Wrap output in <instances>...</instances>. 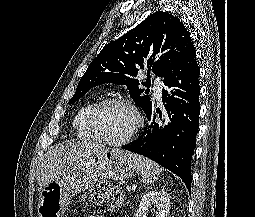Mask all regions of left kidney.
Segmentation results:
<instances>
[{"mask_svg": "<svg viewBox=\"0 0 255 217\" xmlns=\"http://www.w3.org/2000/svg\"><path fill=\"white\" fill-rule=\"evenodd\" d=\"M149 208L155 212V217H168L170 198L165 190L149 191L143 195L134 217H147Z\"/></svg>", "mask_w": 255, "mask_h": 217, "instance_id": "obj_1", "label": "left kidney"}]
</instances>
